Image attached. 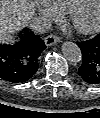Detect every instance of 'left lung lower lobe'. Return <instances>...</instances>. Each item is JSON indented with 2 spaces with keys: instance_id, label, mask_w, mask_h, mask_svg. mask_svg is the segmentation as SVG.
<instances>
[{
  "instance_id": "0a47b994",
  "label": "left lung lower lobe",
  "mask_w": 100,
  "mask_h": 118,
  "mask_svg": "<svg viewBox=\"0 0 100 118\" xmlns=\"http://www.w3.org/2000/svg\"><path fill=\"white\" fill-rule=\"evenodd\" d=\"M80 47L83 63L78 74L84 82L90 85H100V34L93 39L77 42Z\"/></svg>"
}]
</instances>
